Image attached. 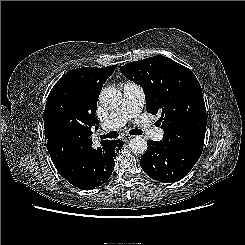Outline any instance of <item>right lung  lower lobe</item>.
Wrapping results in <instances>:
<instances>
[{"label":"right lung lower lobe","instance_id":"1","mask_svg":"<svg viewBox=\"0 0 245 245\" xmlns=\"http://www.w3.org/2000/svg\"><path fill=\"white\" fill-rule=\"evenodd\" d=\"M102 147L93 149L92 145L74 155H68L64 141L55 144L49 152L55 168L69 183L83 190H92L105 183L111 176L117 152L123 142L104 140Z\"/></svg>","mask_w":245,"mask_h":245}]
</instances>
